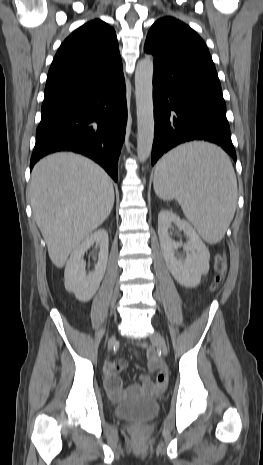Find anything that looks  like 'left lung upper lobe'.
<instances>
[{
	"label": "left lung upper lobe",
	"mask_w": 263,
	"mask_h": 465,
	"mask_svg": "<svg viewBox=\"0 0 263 465\" xmlns=\"http://www.w3.org/2000/svg\"><path fill=\"white\" fill-rule=\"evenodd\" d=\"M144 51L155 60L176 67L200 68L216 73L208 48L188 25L173 17L157 20L148 32Z\"/></svg>",
	"instance_id": "1"
}]
</instances>
